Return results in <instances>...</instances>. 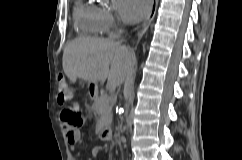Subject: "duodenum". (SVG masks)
Listing matches in <instances>:
<instances>
[{
  "label": "duodenum",
  "instance_id": "duodenum-1",
  "mask_svg": "<svg viewBox=\"0 0 242 160\" xmlns=\"http://www.w3.org/2000/svg\"><path fill=\"white\" fill-rule=\"evenodd\" d=\"M111 137V130L110 128H104L99 131V138L102 141H108Z\"/></svg>",
  "mask_w": 242,
  "mask_h": 160
}]
</instances>
